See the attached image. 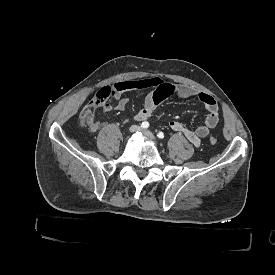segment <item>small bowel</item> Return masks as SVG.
I'll use <instances>...</instances> for the list:
<instances>
[{
    "label": "small bowel",
    "mask_w": 275,
    "mask_h": 275,
    "mask_svg": "<svg viewBox=\"0 0 275 275\" xmlns=\"http://www.w3.org/2000/svg\"><path fill=\"white\" fill-rule=\"evenodd\" d=\"M123 88L116 94L115 109L123 111L127 107L129 97L123 95L130 91H144L152 89L144 98L143 107L135 114V119L139 122L149 119L157 106L167 97L176 95L181 98H197L206 108L207 115L204 123L195 129L188 128L183 122L171 120L168 123L170 130L183 134L194 146L198 147L201 140L208 136L220 120L219 106L216 100L208 93L198 91L187 85H173L163 81L159 77H148L139 80L124 81ZM98 122V129L100 122Z\"/></svg>",
    "instance_id": "1"
}]
</instances>
